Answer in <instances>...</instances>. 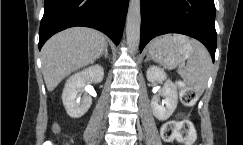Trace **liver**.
<instances>
[{
	"instance_id": "obj_1",
	"label": "liver",
	"mask_w": 243,
	"mask_h": 145,
	"mask_svg": "<svg viewBox=\"0 0 243 145\" xmlns=\"http://www.w3.org/2000/svg\"><path fill=\"white\" fill-rule=\"evenodd\" d=\"M107 45L105 36L94 29L74 27L51 37L41 50L42 73L48 91L70 73L93 63Z\"/></svg>"
}]
</instances>
